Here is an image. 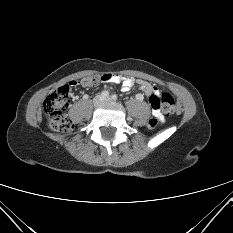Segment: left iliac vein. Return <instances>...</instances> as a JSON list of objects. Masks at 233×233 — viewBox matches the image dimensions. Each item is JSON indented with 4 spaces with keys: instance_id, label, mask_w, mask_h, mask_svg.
<instances>
[{
    "instance_id": "obj_1",
    "label": "left iliac vein",
    "mask_w": 233,
    "mask_h": 233,
    "mask_svg": "<svg viewBox=\"0 0 233 233\" xmlns=\"http://www.w3.org/2000/svg\"><path fill=\"white\" fill-rule=\"evenodd\" d=\"M111 100V98L110 97H106V98H104V101H110Z\"/></svg>"
}]
</instances>
